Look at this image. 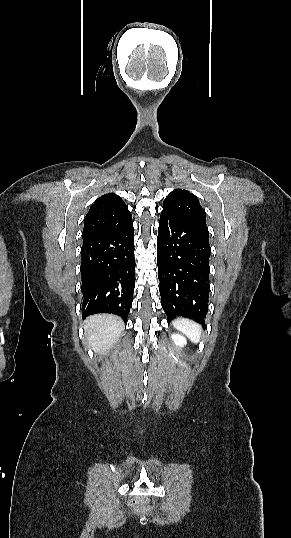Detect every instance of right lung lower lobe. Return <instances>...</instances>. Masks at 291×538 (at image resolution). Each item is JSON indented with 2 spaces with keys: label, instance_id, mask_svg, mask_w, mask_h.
<instances>
[{
  "label": "right lung lower lobe",
  "instance_id": "1",
  "mask_svg": "<svg viewBox=\"0 0 291 538\" xmlns=\"http://www.w3.org/2000/svg\"><path fill=\"white\" fill-rule=\"evenodd\" d=\"M81 257L82 316L113 313L126 319L135 286L133 222L83 240Z\"/></svg>",
  "mask_w": 291,
  "mask_h": 538
}]
</instances>
